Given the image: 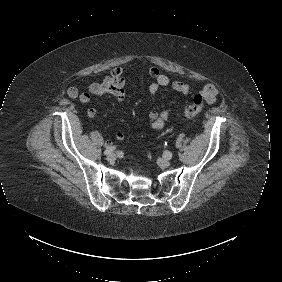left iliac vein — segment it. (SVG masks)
Instances as JSON below:
<instances>
[{
	"label": "left iliac vein",
	"mask_w": 282,
	"mask_h": 282,
	"mask_svg": "<svg viewBox=\"0 0 282 282\" xmlns=\"http://www.w3.org/2000/svg\"><path fill=\"white\" fill-rule=\"evenodd\" d=\"M158 163L161 167H164V168L170 166V164H171V162L168 158H161V159L158 160Z\"/></svg>",
	"instance_id": "1"
}]
</instances>
